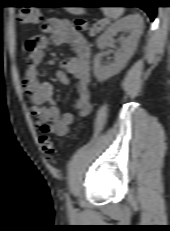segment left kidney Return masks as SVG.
Masks as SVG:
<instances>
[{"label": "left kidney", "instance_id": "left-kidney-1", "mask_svg": "<svg viewBox=\"0 0 170 231\" xmlns=\"http://www.w3.org/2000/svg\"><path fill=\"white\" fill-rule=\"evenodd\" d=\"M128 30L130 35L122 41V52L114 58L109 65L102 64V54L94 57V74L98 81L102 82L119 73L133 55L137 42L142 34L143 19L139 14L128 15L111 24L107 30L98 38L97 46L100 50L105 49L108 41L119 31Z\"/></svg>", "mask_w": 170, "mask_h": 231}]
</instances>
